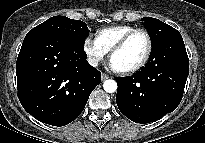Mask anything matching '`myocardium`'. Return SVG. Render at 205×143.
<instances>
[{"label":"myocardium","instance_id":"1","mask_svg":"<svg viewBox=\"0 0 205 143\" xmlns=\"http://www.w3.org/2000/svg\"><path fill=\"white\" fill-rule=\"evenodd\" d=\"M136 33H143L147 39V50L146 53L144 55V57L142 58V60L136 64L135 66L122 70L123 73L125 74H132L135 73L139 70H141L149 61L151 53H152V49H153V42H152V38L150 33L144 29V28H134L133 30L129 31L128 33H126L111 49L110 51V59H112V57L119 52L120 50H122L125 45L127 44V42L130 40V38L135 35Z\"/></svg>","mask_w":205,"mask_h":143}]
</instances>
